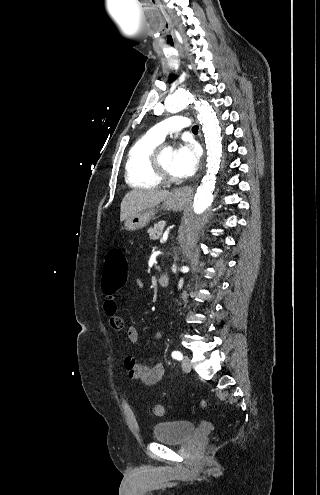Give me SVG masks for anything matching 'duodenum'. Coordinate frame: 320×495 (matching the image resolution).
<instances>
[{"label": "duodenum", "mask_w": 320, "mask_h": 495, "mask_svg": "<svg viewBox=\"0 0 320 495\" xmlns=\"http://www.w3.org/2000/svg\"><path fill=\"white\" fill-rule=\"evenodd\" d=\"M158 283L161 287H167L170 283V276L168 273H163L158 279Z\"/></svg>", "instance_id": "obj_1"}]
</instances>
